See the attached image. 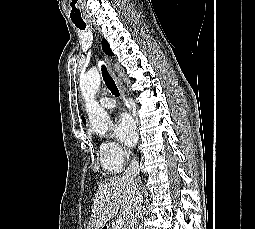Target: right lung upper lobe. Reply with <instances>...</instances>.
I'll list each match as a JSON object with an SVG mask.
<instances>
[{
	"label": "right lung upper lobe",
	"mask_w": 255,
	"mask_h": 229,
	"mask_svg": "<svg viewBox=\"0 0 255 229\" xmlns=\"http://www.w3.org/2000/svg\"><path fill=\"white\" fill-rule=\"evenodd\" d=\"M82 120H83V123L86 124V121H85V119L83 117H82Z\"/></svg>",
	"instance_id": "1"
}]
</instances>
